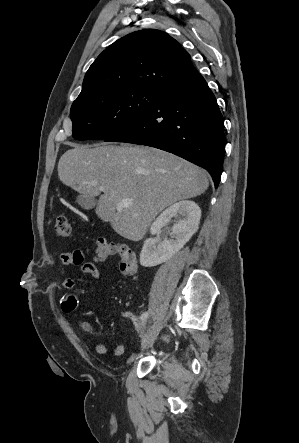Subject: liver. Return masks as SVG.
<instances>
[{
    "label": "liver",
    "instance_id": "1",
    "mask_svg": "<svg viewBox=\"0 0 299 443\" xmlns=\"http://www.w3.org/2000/svg\"><path fill=\"white\" fill-rule=\"evenodd\" d=\"M60 181L89 197L95 212L120 236L141 240L167 206L204 193L209 182L200 167L168 152L144 146L75 145L58 163ZM100 187L105 191L101 194ZM129 207L118 209L122 199Z\"/></svg>",
    "mask_w": 299,
    "mask_h": 443
}]
</instances>
